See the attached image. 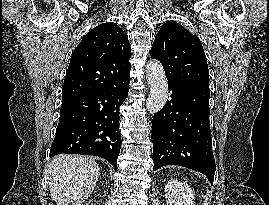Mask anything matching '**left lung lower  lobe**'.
I'll return each mask as SVG.
<instances>
[{
	"label": "left lung lower lobe",
	"mask_w": 269,
	"mask_h": 205,
	"mask_svg": "<svg viewBox=\"0 0 269 205\" xmlns=\"http://www.w3.org/2000/svg\"><path fill=\"white\" fill-rule=\"evenodd\" d=\"M171 100L154 114L153 171L180 165L205 174L216 170L209 122V85L168 81Z\"/></svg>",
	"instance_id": "obj_1"
}]
</instances>
